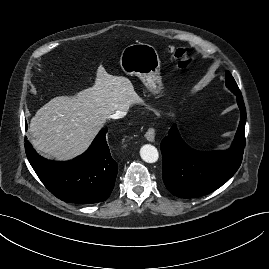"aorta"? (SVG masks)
<instances>
[{"instance_id":"762f6f07","label":"aorta","mask_w":269,"mask_h":269,"mask_svg":"<svg viewBox=\"0 0 269 269\" xmlns=\"http://www.w3.org/2000/svg\"><path fill=\"white\" fill-rule=\"evenodd\" d=\"M140 156L147 163H155L159 158V153L153 145L145 144L140 149Z\"/></svg>"}]
</instances>
